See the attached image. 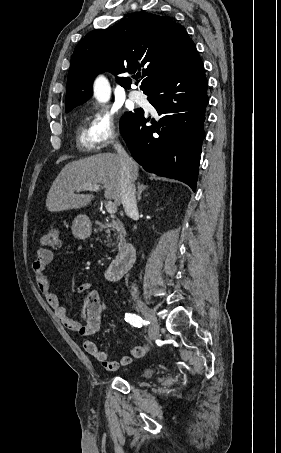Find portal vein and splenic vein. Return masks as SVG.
Instances as JSON below:
<instances>
[{
	"label": "portal vein and splenic vein",
	"mask_w": 281,
	"mask_h": 453,
	"mask_svg": "<svg viewBox=\"0 0 281 453\" xmlns=\"http://www.w3.org/2000/svg\"><path fill=\"white\" fill-rule=\"evenodd\" d=\"M77 190H94V192H99L101 188L99 184H83V186H78ZM105 208L107 212H110V214H114L117 210V206H115L112 200H108V202H106Z\"/></svg>",
	"instance_id": "18ae733b"
}]
</instances>
